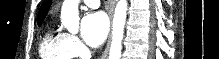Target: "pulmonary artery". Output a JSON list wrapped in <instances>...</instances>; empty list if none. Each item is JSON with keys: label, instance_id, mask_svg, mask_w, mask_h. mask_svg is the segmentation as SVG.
<instances>
[{"label": "pulmonary artery", "instance_id": "1", "mask_svg": "<svg viewBox=\"0 0 219 59\" xmlns=\"http://www.w3.org/2000/svg\"><path fill=\"white\" fill-rule=\"evenodd\" d=\"M83 3H85L87 6L91 8L99 7V1L97 0H84Z\"/></svg>", "mask_w": 219, "mask_h": 59}]
</instances>
